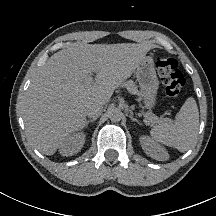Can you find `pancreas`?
<instances>
[{
    "mask_svg": "<svg viewBox=\"0 0 216 216\" xmlns=\"http://www.w3.org/2000/svg\"><path fill=\"white\" fill-rule=\"evenodd\" d=\"M121 86L127 88V90L132 94L138 93L137 86L135 85V83L132 80H128L126 82H123ZM144 117H145V123L147 125L153 124V123L157 122V120H158V117L155 114H153L152 112L145 113Z\"/></svg>",
    "mask_w": 216,
    "mask_h": 216,
    "instance_id": "pancreas-1",
    "label": "pancreas"
}]
</instances>
